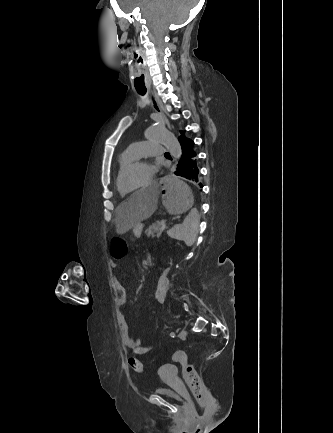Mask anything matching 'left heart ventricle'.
<instances>
[{"instance_id":"left-heart-ventricle-1","label":"left heart ventricle","mask_w":333,"mask_h":433,"mask_svg":"<svg viewBox=\"0 0 333 433\" xmlns=\"http://www.w3.org/2000/svg\"><path fill=\"white\" fill-rule=\"evenodd\" d=\"M149 164L139 165L133 168L124 178L123 184L126 189H134L145 183L150 177Z\"/></svg>"}]
</instances>
